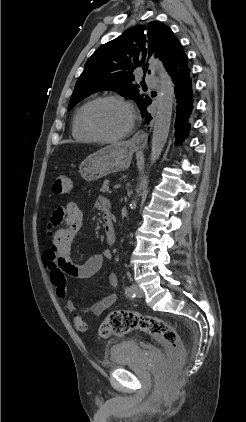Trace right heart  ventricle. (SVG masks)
<instances>
[{
    "instance_id": "right-heart-ventricle-1",
    "label": "right heart ventricle",
    "mask_w": 246,
    "mask_h": 422,
    "mask_svg": "<svg viewBox=\"0 0 246 422\" xmlns=\"http://www.w3.org/2000/svg\"><path fill=\"white\" fill-rule=\"evenodd\" d=\"M90 101L84 103L81 105L78 110L76 111L73 122H72V134L73 137L80 141V142H86L91 143L96 141L85 129L84 123H83V114L85 111L86 106L88 105Z\"/></svg>"
}]
</instances>
